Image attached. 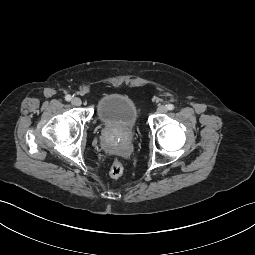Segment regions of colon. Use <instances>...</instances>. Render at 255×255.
<instances>
[{
	"label": "colon",
	"mask_w": 255,
	"mask_h": 255,
	"mask_svg": "<svg viewBox=\"0 0 255 255\" xmlns=\"http://www.w3.org/2000/svg\"><path fill=\"white\" fill-rule=\"evenodd\" d=\"M124 173V166L121 161L114 160L109 167V174L112 178H119Z\"/></svg>",
	"instance_id": "colon-1"
}]
</instances>
